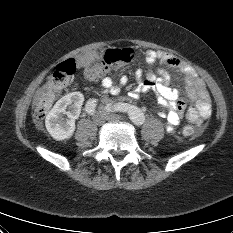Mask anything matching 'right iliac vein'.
I'll return each instance as SVG.
<instances>
[{"label": "right iliac vein", "mask_w": 233, "mask_h": 233, "mask_svg": "<svg viewBox=\"0 0 233 233\" xmlns=\"http://www.w3.org/2000/svg\"><path fill=\"white\" fill-rule=\"evenodd\" d=\"M93 120L97 125H103L107 120L106 115L103 112H98L94 115Z\"/></svg>", "instance_id": "obj_1"}]
</instances>
